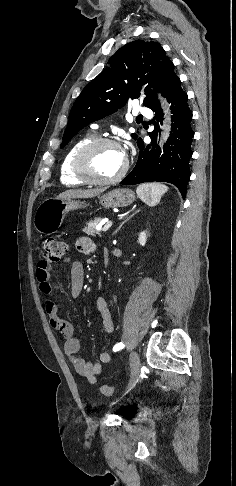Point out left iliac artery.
Masks as SVG:
<instances>
[{"label":"left iliac artery","instance_id":"44dca946","mask_svg":"<svg viewBox=\"0 0 236 486\" xmlns=\"http://www.w3.org/2000/svg\"><path fill=\"white\" fill-rule=\"evenodd\" d=\"M124 347V344L122 342L120 343H117L114 347H113V351L114 352H117L119 351L120 349H122Z\"/></svg>","mask_w":236,"mask_h":486}]
</instances>
